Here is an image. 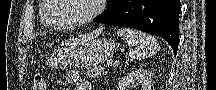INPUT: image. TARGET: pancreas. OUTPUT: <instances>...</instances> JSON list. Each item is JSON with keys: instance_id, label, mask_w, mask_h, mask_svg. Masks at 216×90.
<instances>
[{"instance_id": "obj_1", "label": "pancreas", "mask_w": 216, "mask_h": 90, "mask_svg": "<svg viewBox=\"0 0 216 90\" xmlns=\"http://www.w3.org/2000/svg\"><path fill=\"white\" fill-rule=\"evenodd\" d=\"M89 68L92 70H89L87 76H90V78H97L98 74H101L102 72V65L101 64H90Z\"/></svg>"}]
</instances>
